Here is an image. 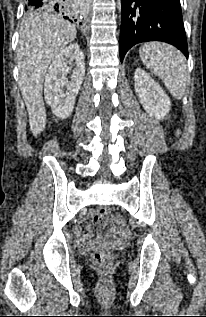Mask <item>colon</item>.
I'll use <instances>...</instances> for the list:
<instances>
[{
    "instance_id": "colon-1",
    "label": "colon",
    "mask_w": 206,
    "mask_h": 317,
    "mask_svg": "<svg viewBox=\"0 0 206 317\" xmlns=\"http://www.w3.org/2000/svg\"><path fill=\"white\" fill-rule=\"evenodd\" d=\"M96 214L101 221H112L118 227L124 225L122 219L112 217L107 208H99ZM86 246L92 251V262L97 268L108 269L113 265L114 255L110 251L102 249L98 242L89 243Z\"/></svg>"
}]
</instances>
